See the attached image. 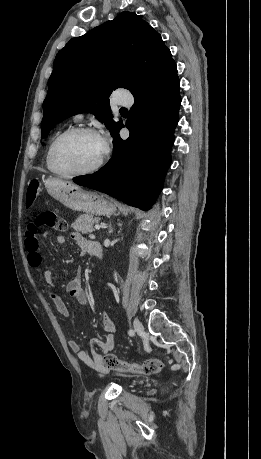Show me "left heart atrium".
Masks as SVG:
<instances>
[{"label":"left heart atrium","instance_id":"39dd6f15","mask_svg":"<svg viewBox=\"0 0 261 459\" xmlns=\"http://www.w3.org/2000/svg\"><path fill=\"white\" fill-rule=\"evenodd\" d=\"M101 141L105 147L107 145V137H103V138L101 137Z\"/></svg>","mask_w":261,"mask_h":459}]
</instances>
